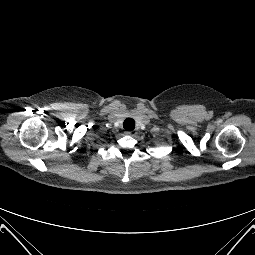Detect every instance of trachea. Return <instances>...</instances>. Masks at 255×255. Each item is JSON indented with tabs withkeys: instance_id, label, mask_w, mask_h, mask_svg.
<instances>
[{
	"instance_id": "obj_1",
	"label": "trachea",
	"mask_w": 255,
	"mask_h": 255,
	"mask_svg": "<svg viewBox=\"0 0 255 255\" xmlns=\"http://www.w3.org/2000/svg\"><path fill=\"white\" fill-rule=\"evenodd\" d=\"M123 127L127 131H132L135 128V121L132 118L125 119Z\"/></svg>"
}]
</instances>
